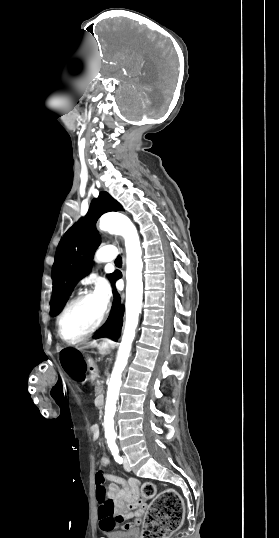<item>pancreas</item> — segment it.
Segmentation results:
<instances>
[{
    "label": "pancreas",
    "mask_w": 279,
    "mask_h": 538,
    "mask_svg": "<svg viewBox=\"0 0 279 538\" xmlns=\"http://www.w3.org/2000/svg\"><path fill=\"white\" fill-rule=\"evenodd\" d=\"M96 385L97 386L94 388V391L98 397H101L105 391L104 383H101V380H96Z\"/></svg>",
    "instance_id": "pancreas-1"
}]
</instances>
